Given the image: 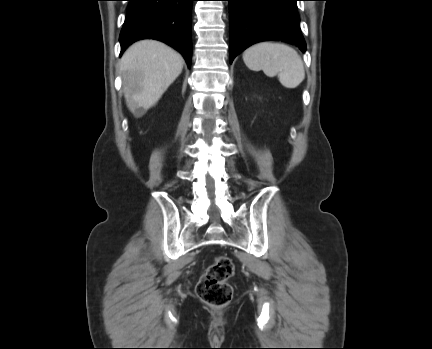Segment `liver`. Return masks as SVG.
Here are the masks:
<instances>
[{
    "instance_id": "6515ba94",
    "label": "liver",
    "mask_w": 432,
    "mask_h": 349,
    "mask_svg": "<svg viewBox=\"0 0 432 349\" xmlns=\"http://www.w3.org/2000/svg\"><path fill=\"white\" fill-rule=\"evenodd\" d=\"M182 69V56L159 41L142 40L131 45L120 61L129 110L139 117L156 105Z\"/></svg>"
}]
</instances>
